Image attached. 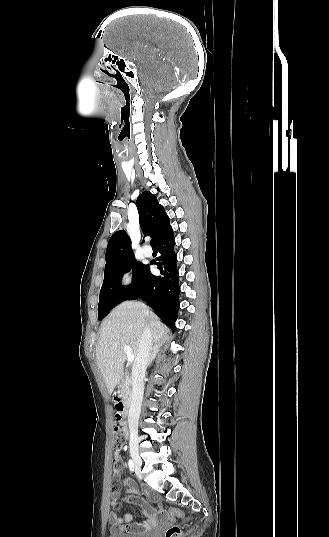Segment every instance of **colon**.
I'll use <instances>...</instances> for the list:
<instances>
[{"label": "colon", "mask_w": 329, "mask_h": 537, "mask_svg": "<svg viewBox=\"0 0 329 537\" xmlns=\"http://www.w3.org/2000/svg\"><path fill=\"white\" fill-rule=\"evenodd\" d=\"M126 438H127L126 431L123 428L116 426L113 430V447L116 450H120L124 446L126 442ZM168 516L172 520H178L181 518L182 513L178 509H172L169 511ZM180 534H181L180 528L178 526L172 525L169 528H167L165 532V537H180Z\"/></svg>", "instance_id": "obj_1"}]
</instances>
